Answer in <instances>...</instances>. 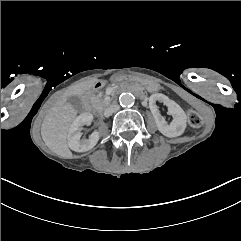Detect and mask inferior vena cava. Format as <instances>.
<instances>
[{
    "label": "inferior vena cava",
    "instance_id": "inferior-vena-cava-1",
    "mask_svg": "<svg viewBox=\"0 0 241 241\" xmlns=\"http://www.w3.org/2000/svg\"><path fill=\"white\" fill-rule=\"evenodd\" d=\"M119 110V105L117 104H111L104 110V116L109 117L112 113Z\"/></svg>",
    "mask_w": 241,
    "mask_h": 241
}]
</instances>
